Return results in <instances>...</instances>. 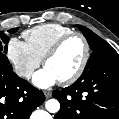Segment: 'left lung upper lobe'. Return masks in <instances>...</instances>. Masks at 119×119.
<instances>
[{"mask_svg": "<svg viewBox=\"0 0 119 119\" xmlns=\"http://www.w3.org/2000/svg\"><path fill=\"white\" fill-rule=\"evenodd\" d=\"M77 27L81 30L92 49V54L83 72H86L92 66L106 59L118 55L117 52L107 42L101 39L90 29L82 25H77Z\"/></svg>", "mask_w": 119, "mask_h": 119, "instance_id": "1", "label": "left lung upper lobe"}]
</instances>
